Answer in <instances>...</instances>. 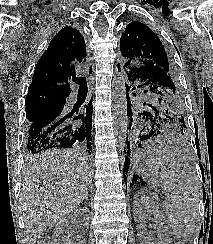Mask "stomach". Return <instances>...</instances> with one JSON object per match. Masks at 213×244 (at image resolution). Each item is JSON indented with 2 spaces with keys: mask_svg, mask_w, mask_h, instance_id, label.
Masks as SVG:
<instances>
[{
  "mask_svg": "<svg viewBox=\"0 0 213 244\" xmlns=\"http://www.w3.org/2000/svg\"><path fill=\"white\" fill-rule=\"evenodd\" d=\"M138 174H140L148 183H154L156 177L158 176L157 172L148 165L146 169H143L140 166L138 169Z\"/></svg>",
  "mask_w": 213,
  "mask_h": 244,
  "instance_id": "1",
  "label": "stomach"
}]
</instances>
